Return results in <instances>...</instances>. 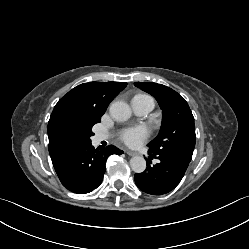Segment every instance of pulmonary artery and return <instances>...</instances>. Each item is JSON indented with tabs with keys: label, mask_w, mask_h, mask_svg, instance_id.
<instances>
[{
	"label": "pulmonary artery",
	"mask_w": 249,
	"mask_h": 249,
	"mask_svg": "<svg viewBox=\"0 0 249 249\" xmlns=\"http://www.w3.org/2000/svg\"><path fill=\"white\" fill-rule=\"evenodd\" d=\"M133 111L137 115H146L154 108V100L149 96L135 97L131 101ZM104 135L100 134L97 136L98 140H103Z\"/></svg>",
	"instance_id": "1"
}]
</instances>
